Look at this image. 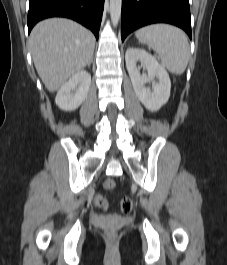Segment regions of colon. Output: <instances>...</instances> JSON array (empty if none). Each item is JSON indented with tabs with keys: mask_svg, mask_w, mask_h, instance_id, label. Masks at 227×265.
I'll return each instance as SVG.
<instances>
[{
	"mask_svg": "<svg viewBox=\"0 0 227 265\" xmlns=\"http://www.w3.org/2000/svg\"><path fill=\"white\" fill-rule=\"evenodd\" d=\"M103 185H104V187L106 189L112 190L115 187V182L112 179H106L103 182ZM94 204H95L96 207H98V208H100L102 210H105L108 207V201H107V199L105 197L101 196V195L95 196V198H94ZM120 210L123 213H130L133 210V202H132V200L130 198H124V199H122L121 202H120ZM107 237L110 240H113L115 238V233L112 232V231H109L107 233Z\"/></svg>",
	"mask_w": 227,
	"mask_h": 265,
	"instance_id": "1",
	"label": "colon"
}]
</instances>
